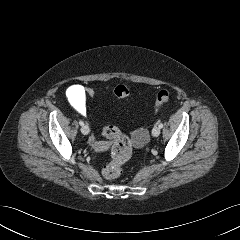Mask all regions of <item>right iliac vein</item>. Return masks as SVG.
Instances as JSON below:
<instances>
[{"label": "right iliac vein", "instance_id": "obj_1", "mask_svg": "<svg viewBox=\"0 0 240 240\" xmlns=\"http://www.w3.org/2000/svg\"><path fill=\"white\" fill-rule=\"evenodd\" d=\"M89 127L87 125H83L81 127V132L84 134V135H87L89 133Z\"/></svg>", "mask_w": 240, "mask_h": 240}]
</instances>
